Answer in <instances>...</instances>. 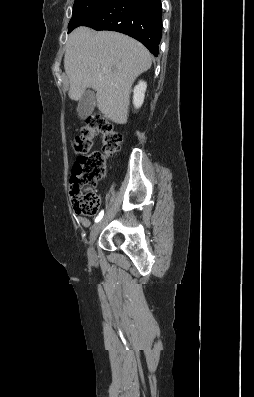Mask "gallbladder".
I'll list each match as a JSON object with an SVG mask.
<instances>
[{
  "label": "gallbladder",
  "mask_w": 254,
  "mask_h": 397,
  "mask_svg": "<svg viewBox=\"0 0 254 397\" xmlns=\"http://www.w3.org/2000/svg\"><path fill=\"white\" fill-rule=\"evenodd\" d=\"M96 102L95 93L92 90H86L79 100L77 113L78 117L84 119L91 115L94 110Z\"/></svg>",
  "instance_id": "1"
}]
</instances>
